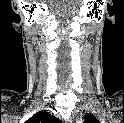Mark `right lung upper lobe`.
<instances>
[{"label": "right lung upper lobe", "instance_id": "obj_1", "mask_svg": "<svg viewBox=\"0 0 124 123\" xmlns=\"http://www.w3.org/2000/svg\"><path fill=\"white\" fill-rule=\"evenodd\" d=\"M60 122L53 115L46 112H39L29 118L26 123H58Z\"/></svg>", "mask_w": 124, "mask_h": 123}]
</instances>
